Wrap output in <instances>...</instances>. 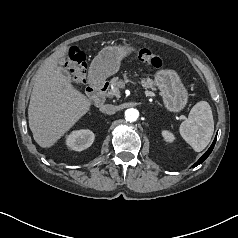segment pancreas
<instances>
[{
  "mask_svg": "<svg viewBox=\"0 0 238 238\" xmlns=\"http://www.w3.org/2000/svg\"><path fill=\"white\" fill-rule=\"evenodd\" d=\"M141 85L145 89H152L155 90L154 88V81L150 78H143L141 80ZM124 87V82L120 80L118 77H114L111 79V89L107 92V96L112 98H120V89Z\"/></svg>",
  "mask_w": 238,
  "mask_h": 238,
  "instance_id": "obj_1",
  "label": "pancreas"
}]
</instances>
